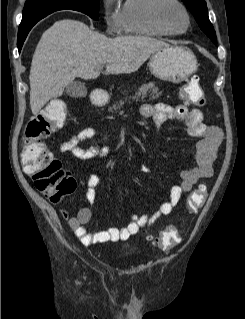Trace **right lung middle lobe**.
Returning a JSON list of instances; mask_svg holds the SVG:
<instances>
[{
  "label": "right lung middle lobe",
  "mask_w": 245,
  "mask_h": 319,
  "mask_svg": "<svg viewBox=\"0 0 245 319\" xmlns=\"http://www.w3.org/2000/svg\"><path fill=\"white\" fill-rule=\"evenodd\" d=\"M61 9L80 11L97 20L99 16V0H27L19 28L27 27L32 16L37 11H57Z\"/></svg>",
  "instance_id": "obj_1"
}]
</instances>
